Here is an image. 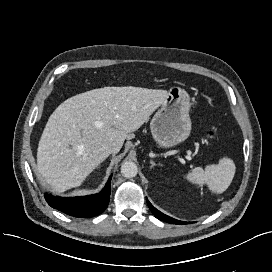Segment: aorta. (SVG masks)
Returning <instances> with one entry per match:
<instances>
[{
	"instance_id": "obj_1",
	"label": "aorta",
	"mask_w": 272,
	"mask_h": 272,
	"mask_svg": "<svg viewBox=\"0 0 272 272\" xmlns=\"http://www.w3.org/2000/svg\"><path fill=\"white\" fill-rule=\"evenodd\" d=\"M137 165L132 161H126L121 166V173L126 178H133L137 175Z\"/></svg>"
}]
</instances>
